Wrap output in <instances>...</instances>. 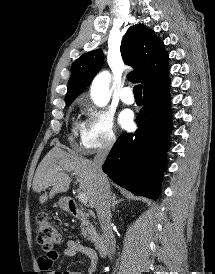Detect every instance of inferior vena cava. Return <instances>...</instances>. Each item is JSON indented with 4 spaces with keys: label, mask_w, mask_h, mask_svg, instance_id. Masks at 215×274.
I'll return each mask as SVG.
<instances>
[{
    "label": "inferior vena cava",
    "mask_w": 215,
    "mask_h": 274,
    "mask_svg": "<svg viewBox=\"0 0 215 274\" xmlns=\"http://www.w3.org/2000/svg\"><path fill=\"white\" fill-rule=\"evenodd\" d=\"M114 143V139L108 141L105 149L100 151L93 160V170L97 177L98 193L96 199V212L99 223L106 239L110 253H115L116 241L111 228V192L108 180L102 171V165Z\"/></svg>",
    "instance_id": "602c4592"
}]
</instances>
